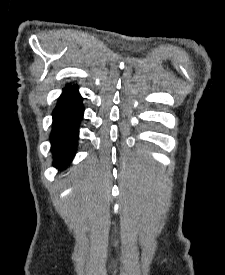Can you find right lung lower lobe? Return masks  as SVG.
<instances>
[{"instance_id":"98d812e1","label":"right lung lower lobe","mask_w":225,"mask_h":275,"mask_svg":"<svg viewBox=\"0 0 225 275\" xmlns=\"http://www.w3.org/2000/svg\"><path fill=\"white\" fill-rule=\"evenodd\" d=\"M84 107L77 85H66L52 113L50 134L53 165L65 169L75 155Z\"/></svg>"}]
</instances>
